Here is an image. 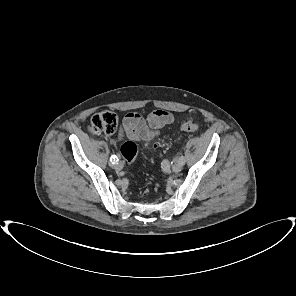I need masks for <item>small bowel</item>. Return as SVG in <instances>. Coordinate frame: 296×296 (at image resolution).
<instances>
[{"label":"small bowel","mask_w":296,"mask_h":296,"mask_svg":"<svg viewBox=\"0 0 296 296\" xmlns=\"http://www.w3.org/2000/svg\"><path fill=\"white\" fill-rule=\"evenodd\" d=\"M174 120L172 113L162 109L151 112L146 118L137 113H129L123 119L122 129L115 142L123 137L135 141L152 139L163 127L172 124Z\"/></svg>","instance_id":"c3829d8e"}]
</instances>
